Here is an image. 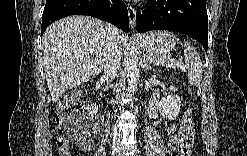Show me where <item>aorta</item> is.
I'll return each instance as SVG.
<instances>
[{"instance_id": "762f6f07", "label": "aorta", "mask_w": 247, "mask_h": 156, "mask_svg": "<svg viewBox=\"0 0 247 156\" xmlns=\"http://www.w3.org/2000/svg\"><path fill=\"white\" fill-rule=\"evenodd\" d=\"M137 47L133 42L126 55V73L128 77V86L131 92L137 91L139 68H138Z\"/></svg>"}]
</instances>
